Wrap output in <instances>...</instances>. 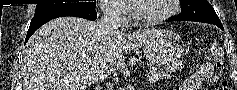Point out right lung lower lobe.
I'll use <instances>...</instances> for the list:
<instances>
[{
    "label": "right lung lower lobe",
    "instance_id": "1",
    "mask_svg": "<svg viewBox=\"0 0 237 90\" xmlns=\"http://www.w3.org/2000/svg\"><path fill=\"white\" fill-rule=\"evenodd\" d=\"M62 16H75L81 17L88 20H96L97 13L95 9L90 8H65L60 9L52 13L44 14L41 16H36L31 20L29 30L27 32L25 43L28 41L30 36L43 24L46 22Z\"/></svg>",
    "mask_w": 237,
    "mask_h": 90
}]
</instances>
